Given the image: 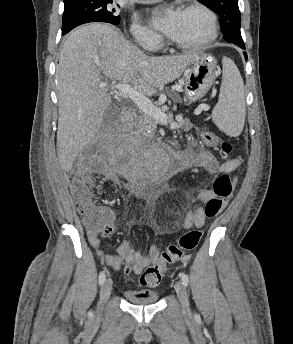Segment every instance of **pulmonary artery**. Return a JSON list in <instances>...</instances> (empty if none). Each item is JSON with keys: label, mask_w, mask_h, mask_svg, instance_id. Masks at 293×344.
Returning a JSON list of instances; mask_svg holds the SVG:
<instances>
[{"label": "pulmonary artery", "mask_w": 293, "mask_h": 344, "mask_svg": "<svg viewBox=\"0 0 293 344\" xmlns=\"http://www.w3.org/2000/svg\"><path fill=\"white\" fill-rule=\"evenodd\" d=\"M138 3H152V2H156V1H159V0H136Z\"/></svg>", "instance_id": "1"}]
</instances>
